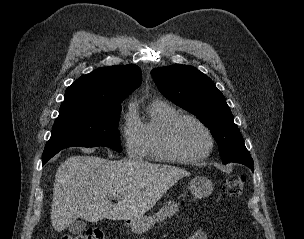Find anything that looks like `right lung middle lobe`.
I'll use <instances>...</instances> for the list:
<instances>
[{
  "mask_svg": "<svg viewBox=\"0 0 304 239\" xmlns=\"http://www.w3.org/2000/svg\"><path fill=\"white\" fill-rule=\"evenodd\" d=\"M121 106L60 112L44 151L106 146L121 152L118 122Z\"/></svg>",
  "mask_w": 304,
  "mask_h": 239,
  "instance_id": "right-lung-middle-lobe-1",
  "label": "right lung middle lobe"
}]
</instances>
